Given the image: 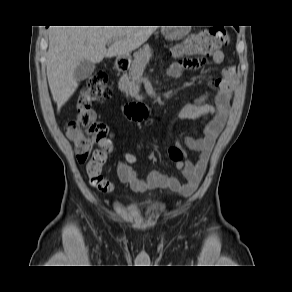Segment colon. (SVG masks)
Listing matches in <instances>:
<instances>
[{
  "label": "colon",
  "mask_w": 292,
  "mask_h": 292,
  "mask_svg": "<svg viewBox=\"0 0 292 292\" xmlns=\"http://www.w3.org/2000/svg\"><path fill=\"white\" fill-rule=\"evenodd\" d=\"M229 36L223 27H212L188 37L176 46L175 56H210L228 43ZM111 95L108 78L103 73L93 75L81 89L78 101V115L65 126L67 136L73 141L76 160L86 165L90 184L100 192L108 193L113 190L112 183L103 175V166L111 151L107 128L96 120V114L91 106L95 102L107 99ZM105 139L101 144L100 141ZM99 148L93 150L94 144ZM169 158L176 162L183 161V151L172 146L168 151ZM148 159L156 163L159 160L157 152H150Z\"/></svg>",
  "instance_id": "obj_1"
}]
</instances>
